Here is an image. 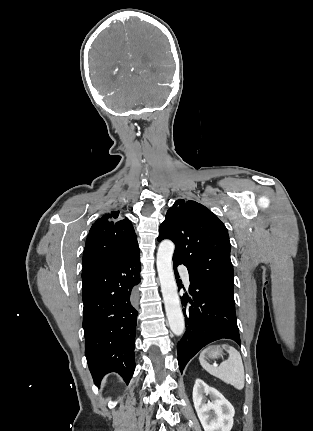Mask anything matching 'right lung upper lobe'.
Masks as SVG:
<instances>
[{
  "instance_id": "1",
  "label": "right lung upper lobe",
  "mask_w": 313,
  "mask_h": 431,
  "mask_svg": "<svg viewBox=\"0 0 313 431\" xmlns=\"http://www.w3.org/2000/svg\"><path fill=\"white\" fill-rule=\"evenodd\" d=\"M139 251L134 228L128 218L112 211L91 227L83 253V267L121 260Z\"/></svg>"
}]
</instances>
